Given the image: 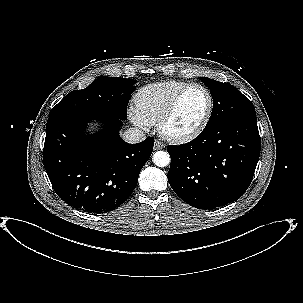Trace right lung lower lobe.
Instances as JSON below:
<instances>
[{"instance_id":"1","label":"right lung lower lobe","mask_w":303,"mask_h":303,"mask_svg":"<svg viewBox=\"0 0 303 303\" xmlns=\"http://www.w3.org/2000/svg\"><path fill=\"white\" fill-rule=\"evenodd\" d=\"M100 120L104 128L88 135L86 123ZM123 120L105 113L49 118L43 163L58 196L79 210L102 214L120 206L135 189L149 159L154 139L129 144L119 137Z\"/></svg>"}]
</instances>
